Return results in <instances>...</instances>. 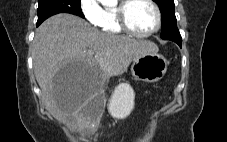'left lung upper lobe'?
Returning <instances> with one entry per match:
<instances>
[{
  "mask_svg": "<svg viewBox=\"0 0 227 142\" xmlns=\"http://www.w3.org/2000/svg\"><path fill=\"white\" fill-rule=\"evenodd\" d=\"M162 13V32L161 38L171 40L177 44H182V38L177 28V20L175 17L174 0H155Z\"/></svg>",
  "mask_w": 227,
  "mask_h": 142,
  "instance_id": "5c2ea615",
  "label": "left lung upper lobe"
}]
</instances>
